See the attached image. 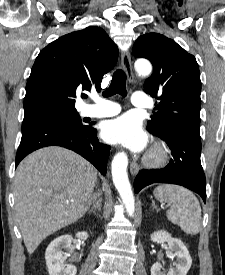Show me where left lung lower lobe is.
<instances>
[{"label": "left lung lower lobe", "mask_w": 225, "mask_h": 275, "mask_svg": "<svg viewBox=\"0 0 225 275\" xmlns=\"http://www.w3.org/2000/svg\"><path fill=\"white\" fill-rule=\"evenodd\" d=\"M161 139L168 144L173 159L165 168L141 171L134 181L135 193L152 183H172L195 191L206 202V180L200 161V136L176 133Z\"/></svg>", "instance_id": "0a47b994"}]
</instances>
